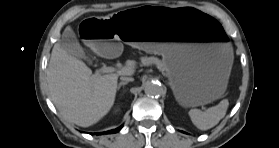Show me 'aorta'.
Here are the masks:
<instances>
[{"label":"aorta","mask_w":279,"mask_h":148,"mask_svg":"<svg viewBox=\"0 0 279 148\" xmlns=\"http://www.w3.org/2000/svg\"><path fill=\"white\" fill-rule=\"evenodd\" d=\"M144 91L149 97H160L164 93V88L157 82L149 81L145 84Z\"/></svg>","instance_id":"obj_1"}]
</instances>
